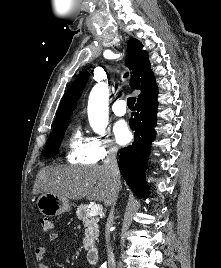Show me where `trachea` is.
<instances>
[{
  "label": "trachea",
  "instance_id": "obj_1",
  "mask_svg": "<svg viewBox=\"0 0 221 268\" xmlns=\"http://www.w3.org/2000/svg\"><path fill=\"white\" fill-rule=\"evenodd\" d=\"M128 76V73H126L124 75V77L126 78ZM135 101H136V98L135 97H130L128 98L127 100V105H128V108L133 110L134 109V104H135Z\"/></svg>",
  "mask_w": 221,
  "mask_h": 268
}]
</instances>
